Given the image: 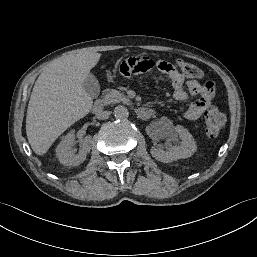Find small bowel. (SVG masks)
I'll return each instance as SVG.
<instances>
[{
  "label": "small bowel",
  "mask_w": 257,
  "mask_h": 257,
  "mask_svg": "<svg viewBox=\"0 0 257 257\" xmlns=\"http://www.w3.org/2000/svg\"><path fill=\"white\" fill-rule=\"evenodd\" d=\"M117 72L120 77L133 81L139 76L144 78L162 77L165 81L172 83L173 97L176 100L184 101L193 96H199L198 100L190 104L183 113L186 120H197L209 106L214 96V85L212 82L199 84L193 77L185 79L184 74L173 68L168 60L155 62L146 55H139L132 58H124L117 65Z\"/></svg>",
  "instance_id": "c3829d8e"
}]
</instances>
